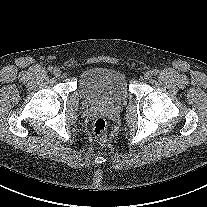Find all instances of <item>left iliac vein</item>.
Segmentation results:
<instances>
[{"mask_svg":"<svg viewBox=\"0 0 207 207\" xmlns=\"http://www.w3.org/2000/svg\"><path fill=\"white\" fill-rule=\"evenodd\" d=\"M151 77H152V72H151V71H147V72H145V74H144V78H145L146 80L150 79Z\"/></svg>","mask_w":207,"mask_h":207,"instance_id":"left-iliac-vein-1","label":"left iliac vein"}]
</instances>
